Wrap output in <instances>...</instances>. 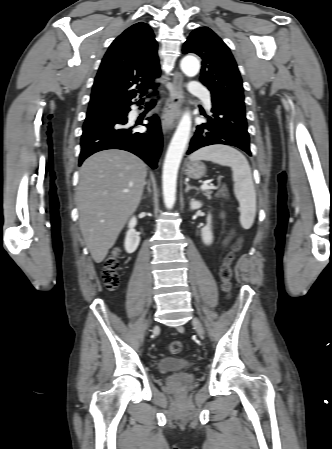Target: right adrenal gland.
I'll return each mask as SVG.
<instances>
[{
  "instance_id": "right-adrenal-gland-1",
  "label": "right adrenal gland",
  "mask_w": 332,
  "mask_h": 449,
  "mask_svg": "<svg viewBox=\"0 0 332 449\" xmlns=\"http://www.w3.org/2000/svg\"><path fill=\"white\" fill-rule=\"evenodd\" d=\"M148 192H149V194L151 193L150 182H148ZM143 198H146V197H143Z\"/></svg>"
}]
</instances>
